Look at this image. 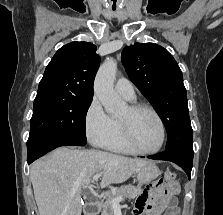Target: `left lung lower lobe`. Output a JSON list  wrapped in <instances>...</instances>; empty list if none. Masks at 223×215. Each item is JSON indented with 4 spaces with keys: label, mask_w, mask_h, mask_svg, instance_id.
<instances>
[{
    "label": "left lung lower lobe",
    "mask_w": 223,
    "mask_h": 215,
    "mask_svg": "<svg viewBox=\"0 0 223 215\" xmlns=\"http://www.w3.org/2000/svg\"><path fill=\"white\" fill-rule=\"evenodd\" d=\"M193 151H182V150H165L159 154L148 156L147 158L154 160H165L176 163L180 166L188 175L190 179L192 164H193Z\"/></svg>",
    "instance_id": "0a47b994"
}]
</instances>
